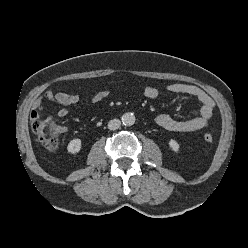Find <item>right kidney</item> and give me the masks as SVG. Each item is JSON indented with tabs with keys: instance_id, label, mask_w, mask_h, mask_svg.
Returning <instances> with one entry per match:
<instances>
[{
	"instance_id": "right-kidney-1",
	"label": "right kidney",
	"mask_w": 248,
	"mask_h": 248,
	"mask_svg": "<svg viewBox=\"0 0 248 248\" xmlns=\"http://www.w3.org/2000/svg\"><path fill=\"white\" fill-rule=\"evenodd\" d=\"M82 142L80 139L75 138L71 140L67 146V151L71 154H76L80 151Z\"/></svg>"
}]
</instances>
